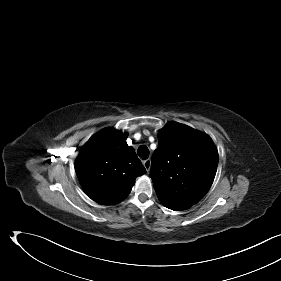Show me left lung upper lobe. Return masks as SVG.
Masks as SVG:
<instances>
[{
  "label": "left lung upper lobe",
  "mask_w": 281,
  "mask_h": 281,
  "mask_svg": "<svg viewBox=\"0 0 281 281\" xmlns=\"http://www.w3.org/2000/svg\"><path fill=\"white\" fill-rule=\"evenodd\" d=\"M159 146L152 157L150 176L164 206L188 209L210 189L218 152L205 133L169 122L158 132Z\"/></svg>",
  "instance_id": "1"
}]
</instances>
